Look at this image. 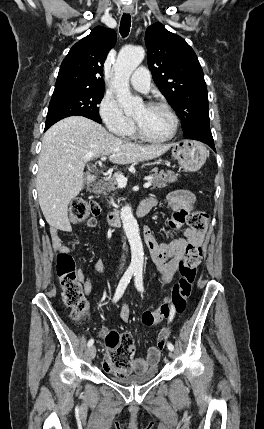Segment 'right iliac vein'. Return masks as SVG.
Instances as JSON below:
<instances>
[{
  "mask_svg": "<svg viewBox=\"0 0 264 429\" xmlns=\"http://www.w3.org/2000/svg\"><path fill=\"white\" fill-rule=\"evenodd\" d=\"M88 353H89V357H90L91 359H94V358H95V356H96V347H95V346H91V347L89 348V350H88Z\"/></svg>",
  "mask_w": 264,
  "mask_h": 429,
  "instance_id": "right-iliac-vein-1",
  "label": "right iliac vein"
}]
</instances>
